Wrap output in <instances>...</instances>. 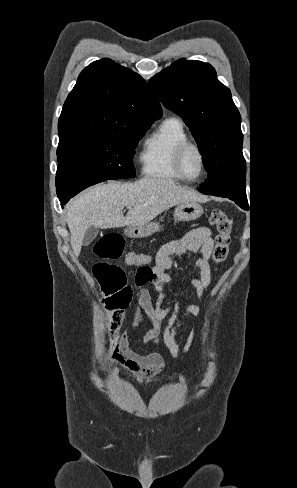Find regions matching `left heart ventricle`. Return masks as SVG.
Segmentation results:
<instances>
[{
    "mask_svg": "<svg viewBox=\"0 0 297 488\" xmlns=\"http://www.w3.org/2000/svg\"><path fill=\"white\" fill-rule=\"evenodd\" d=\"M182 166L185 174L188 177H196L201 170V159L197 151L190 148L183 156Z\"/></svg>",
    "mask_w": 297,
    "mask_h": 488,
    "instance_id": "left-heart-ventricle-1",
    "label": "left heart ventricle"
}]
</instances>
